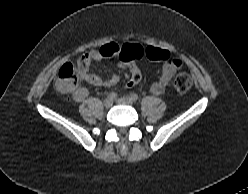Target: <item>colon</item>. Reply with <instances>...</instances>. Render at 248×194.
<instances>
[{"label": "colon", "instance_id": "obj_1", "mask_svg": "<svg viewBox=\"0 0 248 194\" xmlns=\"http://www.w3.org/2000/svg\"><path fill=\"white\" fill-rule=\"evenodd\" d=\"M171 59L169 53L163 55L161 61ZM132 81L136 83L140 80V72L135 68L132 73ZM79 75L77 69L72 63H65L59 70L58 76L55 81V87L59 92L67 93L72 92L78 85ZM193 85L192 77L186 73L181 72L176 75L173 81L175 90L179 93L187 92Z\"/></svg>", "mask_w": 248, "mask_h": 194}]
</instances>
